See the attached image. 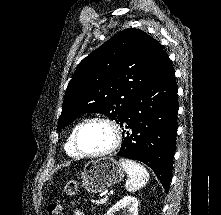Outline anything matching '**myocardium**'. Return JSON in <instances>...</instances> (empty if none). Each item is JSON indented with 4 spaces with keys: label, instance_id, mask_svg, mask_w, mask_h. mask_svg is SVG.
Returning a JSON list of instances; mask_svg holds the SVG:
<instances>
[{
    "label": "myocardium",
    "instance_id": "obj_1",
    "mask_svg": "<svg viewBox=\"0 0 221 215\" xmlns=\"http://www.w3.org/2000/svg\"><path fill=\"white\" fill-rule=\"evenodd\" d=\"M93 122H101V123L106 124L109 127L112 133V143L109 146V148H107L104 151H101L98 153H87L81 150L79 143H78V137H79L81 130L86 125L93 123ZM121 139H122L121 130L118 124L114 120L105 116H94V117L85 119L77 126L73 135V145L79 156L86 157V158H99V157H104L113 153L119 147L121 143Z\"/></svg>",
    "mask_w": 221,
    "mask_h": 215
}]
</instances>
